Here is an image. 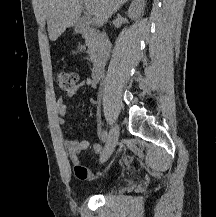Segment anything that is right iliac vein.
Masks as SVG:
<instances>
[{"mask_svg": "<svg viewBox=\"0 0 216 217\" xmlns=\"http://www.w3.org/2000/svg\"><path fill=\"white\" fill-rule=\"evenodd\" d=\"M118 138H119V127L114 126L110 130L105 148H104L103 153L100 157L101 163L107 161L110 158L111 154L113 153V151L116 147V144L118 142Z\"/></svg>", "mask_w": 216, "mask_h": 217, "instance_id": "right-iliac-vein-1", "label": "right iliac vein"}]
</instances>
